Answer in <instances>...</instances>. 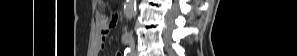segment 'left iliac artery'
<instances>
[{
	"instance_id": "44dca946",
	"label": "left iliac artery",
	"mask_w": 297,
	"mask_h": 56,
	"mask_svg": "<svg viewBox=\"0 0 297 56\" xmlns=\"http://www.w3.org/2000/svg\"><path fill=\"white\" fill-rule=\"evenodd\" d=\"M132 53H131V50L130 48H126L125 52H124V56H131Z\"/></svg>"
}]
</instances>
